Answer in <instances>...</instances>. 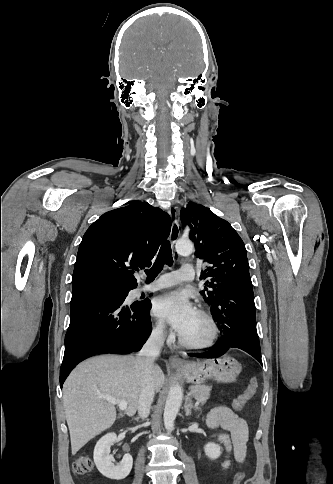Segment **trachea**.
<instances>
[{
  "label": "trachea",
  "mask_w": 333,
  "mask_h": 484,
  "mask_svg": "<svg viewBox=\"0 0 333 484\" xmlns=\"http://www.w3.org/2000/svg\"><path fill=\"white\" fill-rule=\"evenodd\" d=\"M173 257L172 250L169 241L163 243L158 253V256L149 270H145L147 280H154L157 275L162 271L164 265L172 266Z\"/></svg>",
  "instance_id": "obj_1"
}]
</instances>
